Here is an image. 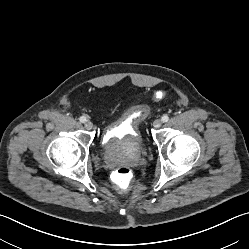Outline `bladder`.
I'll return each instance as SVG.
<instances>
[{"instance_id": "bladder-1", "label": "bladder", "mask_w": 249, "mask_h": 249, "mask_svg": "<svg viewBox=\"0 0 249 249\" xmlns=\"http://www.w3.org/2000/svg\"><path fill=\"white\" fill-rule=\"evenodd\" d=\"M139 113L137 120L128 121L127 116ZM149 109L144 105H133L129 107L124 116L110 124L102 141V148L106 155L123 149L142 150L144 142L141 135V124L148 116Z\"/></svg>"}]
</instances>
